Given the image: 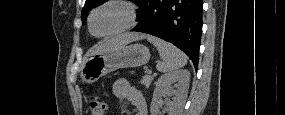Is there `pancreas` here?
<instances>
[{
    "label": "pancreas",
    "mask_w": 285,
    "mask_h": 115,
    "mask_svg": "<svg viewBox=\"0 0 285 115\" xmlns=\"http://www.w3.org/2000/svg\"><path fill=\"white\" fill-rule=\"evenodd\" d=\"M155 76H156L155 74L152 75V76H150V75H145V76H143V78L141 79L140 83L143 84V85H145V87L148 88V87L150 86L151 82L153 81V79H154Z\"/></svg>",
    "instance_id": "cf45deb5"
}]
</instances>
